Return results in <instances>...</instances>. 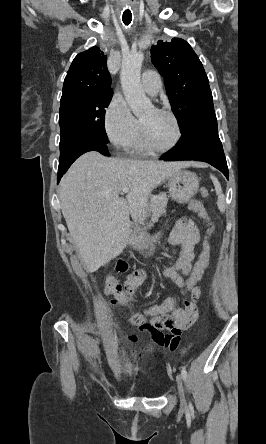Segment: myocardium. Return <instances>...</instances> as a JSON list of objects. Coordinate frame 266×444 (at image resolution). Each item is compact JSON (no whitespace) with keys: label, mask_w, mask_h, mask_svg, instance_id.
<instances>
[{"label":"myocardium","mask_w":266,"mask_h":444,"mask_svg":"<svg viewBox=\"0 0 266 444\" xmlns=\"http://www.w3.org/2000/svg\"><path fill=\"white\" fill-rule=\"evenodd\" d=\"M157 113L163 114V115H167L169 116L174 124H175V128H176V136L174 141L166 148H160L156 145H154L152 143V141L149 138V135L147 133V130L144 126V124L140 121V131H141V135H142V139L144 142V145L152 152L154 153H166L169 152L171 150H173L174 148L177 147V145L180 143L181 138H182V128H181V124L180 121L178 119V117L176 116L175 113H173L172 111L168 110V109H162V108H156L154 109Z\"/></svg>","instance_id":"f54148a6"}]
</instances>
